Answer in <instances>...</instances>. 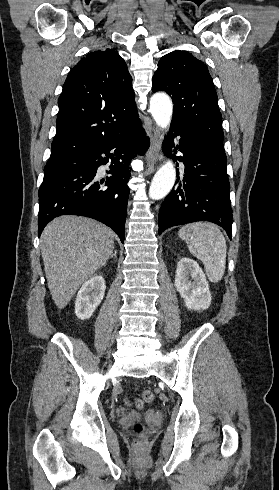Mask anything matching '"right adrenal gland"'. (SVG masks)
<instances>
[{"label":"right adrenal gland","mask_w":279,"mask_h":490,"mask_svg":"<svg viewBox=\"0 0 279 490\" xmlns=\"http://www.w3.org/2000/svg\"><path fill=\"white\" fill-rule=\"evenodd\" d=\"M110 258H117V250H114V252H112Z\"/></svg>","instance_id":"2a0ac1e0"}]
</instances>
